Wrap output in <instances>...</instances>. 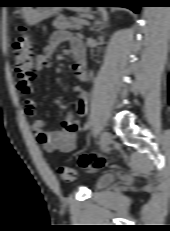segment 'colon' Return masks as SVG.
<instances>
[{
  "label": "colon",
  "instance_id": "obj_1",
  "mask_svg": "<svg viewBox=\"0 0 170 231\" xmlns=\"http://www.w3.org/2000/svg\"><path fill=\"white\" fill-rule=\"evenodd\" d=\"M20 35L13 44V62L15 73L20 81H30L36 76V64L33 60L32 43L27 29L19 27ZM78 163L81 167L102 168L106 159L98 154H83ZM57 174L67 182L73 181L75 172L72 168L59 166Z\"/></svg>",
  "mask_w": 170,
  "mask_h": 231
}]
</instances>
